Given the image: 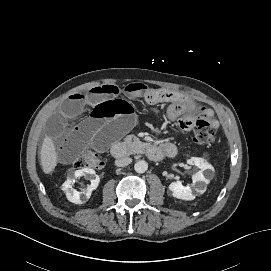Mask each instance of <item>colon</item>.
Here are the masks:
<instances>
[{
  "label": "colon",
  "mask_w": 271,
  "mask_h": 271,
  "mask_svg": "<svg viewBox=\"0 0 271 271\" xmlns=\"http://www.w3.org/2000/svg\"><path fill=\"white\" fill-rule=\"evenodd\" d=\"M184 130L194 131V141L202 146H210L215 141V128L208 110L202 108L197 114L188 113L177 121ZM104 165L103 157L91 150L83 153L76 161L77 168L100 169Z\"/></svg>",
  "instance_id": "5ec220e1"
}]
</instances>
